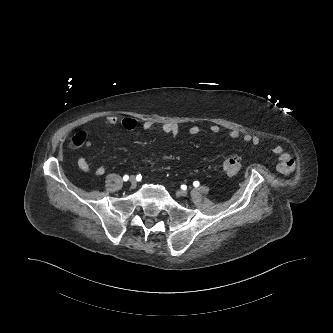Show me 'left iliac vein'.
I'll return each mask as SVG.
<instances>
[{
  "mask_svg": "<svg viewBox=\"0 0 333 333\" xmlns=\"http://www.w3.org/2000/svg\"><path fill=\"white\" fill-rule=\"evenodd\" d=\"M177 193H178L179 196H186L187 195V191H185V190H179Z\"/></svg>",
  "mask_w": 333,
  "mask_h": 333,
  "instance_id": "1",
  "label": "left iliac vein"
}]
</instances>
